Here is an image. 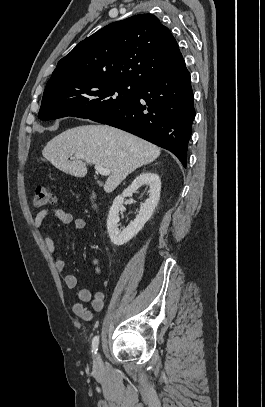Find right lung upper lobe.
Here are the masks:
<instances>
[{"mask_svg":"<svg viewBox=\"0 0 265 407\" xmlns=\"http://www.w3.org/2000/svg\"><path fill=\"white\" fill-rule=\"evenodd\" d=\"M182 56L170 30L152 14L111 23L78 43L62 58L50 80L89 78L141 85L173 67Z\"/></svg>","mask_w":265,"mask_h":407,"instance_id":"cb5924a9","label":"right lung upper lobe"}]
</instances>
